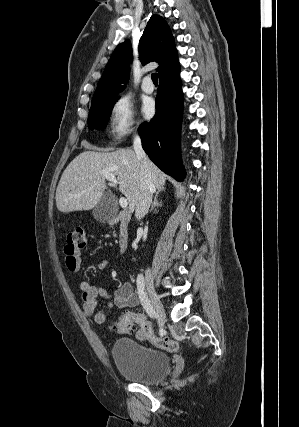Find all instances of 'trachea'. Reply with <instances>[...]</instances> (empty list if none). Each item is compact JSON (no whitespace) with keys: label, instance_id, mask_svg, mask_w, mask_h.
Listing matches in <instances>:
<instances>
[{"label":"trachea","instance_id":"trachea-1","mask_svg":"<svg viewBox=\"0 0 299 427\" xmlns=\"http://www.w3.org/2000/svg\"><path fill=\"white\" fill-rule=\"evenodd\" d=\"M151 79H152V81H153L154 84H158V75H157V73H153L151 75Z\"/></svg>","mask_w":299,"mask_h":427}]
</instances>
